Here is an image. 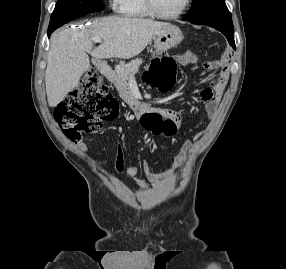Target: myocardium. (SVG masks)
Instances as JSON below:
<instances>
[{"label":"myocardium","mask_w":286,"mask_h":269,"mask_svg":"<svg viewBox=\"0 0 286 269\" xmlns=\"http://www.w3.org/2000/svg\"><path fill=\"white\" fill-rule=\"evenodd\" d=\"M143 2L149 15L158 19H165V20L175 19L182 16L186 12V10L190 7L191 4V0H185L182 8L177 12L173 14H163L157 10L154 0H143Z\"/></svg>","instance_id":"f54148a6"}]
</instances>
